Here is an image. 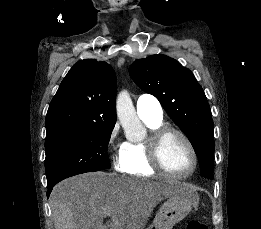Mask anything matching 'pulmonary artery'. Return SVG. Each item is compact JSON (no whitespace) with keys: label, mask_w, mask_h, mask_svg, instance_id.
Listing matches in <instances>:
<instances>
[{"label":"pulmonary artery","mask_w":261,"mask_h":229,"mask_svg":"<svg viewBox=\"0 0 261 229\" xmlns=\"http://www.w3.org/2000/svg\"><path fill=\"white\" fill-rule=\"evenodd\" d=\"M137 113L141 118L159 121L163 119V107L152 95L141 94L137 99Z\"/></svg>","instance_id":"e3ab8cb5"}]
</instances>
